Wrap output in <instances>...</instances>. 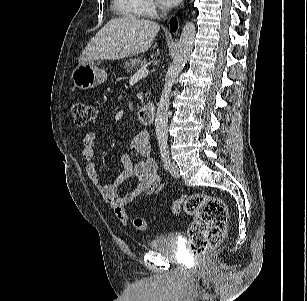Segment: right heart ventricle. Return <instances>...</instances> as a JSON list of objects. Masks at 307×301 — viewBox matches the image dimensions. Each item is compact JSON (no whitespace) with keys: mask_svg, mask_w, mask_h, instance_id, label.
Returning a JSON list of instances; mask_svg holds the SVG:
<instances>
[{"mask_svg":"<svg viewBox=\"0 0 307 301\" xmlns=\"http://www.w3.org/2000/svg\"><path fill=\"white\" fill-rule=\"evenodd\" d=\"M114 9L124 16L144 18L143 0H113Z\"/></svg>","mask_w":307,"mask_h":301,"instance_id":"obj_1","label":"right heart ventricle"}]
</instances>
